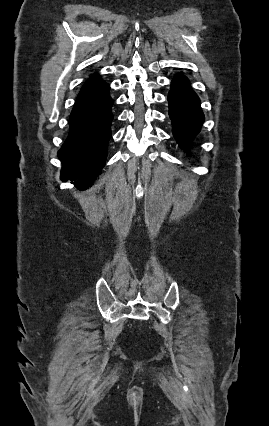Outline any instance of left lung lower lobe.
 <instances>
[{
	"mask_svg": "<svg viewBox=\"0 0 269 426\" xmlns=\"http://www.w3.org/2000/svg\"><path fill=\"white\" fill-rule=\"evenodd\" d=\"M168 102L173 135L181 148L188 150L193 138L200 131L204 115L199 98L183 75L177 74L173 79Z\"/></svg>",
	"mask_w": 269,
	"mask_h": 426,
	"instance_id": "1",
	"label": "left lung lower lobe"
}]
</instances>
